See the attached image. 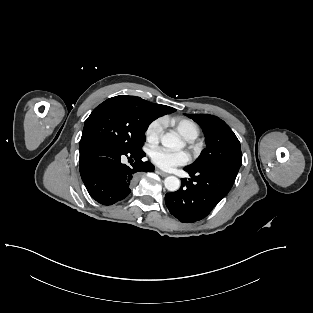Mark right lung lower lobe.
Segmentation results:
<instances>
[{
	"label": "right lung lower lobe",
	"instance_id": "obj_1",
	"mask_svg": "<svg viewBox=\"0 0 313 313\" xmlns=\"http://www.w3.org/2000/svg\"><path fill=\"white\" fill-rule=\"evenodd\" d=\"M124 156L132 160L131 166L122 163ZM144 156L142 149L127 151L102 142L80 147V174L90 196L103 205L126 198L137 173L155 169L150 162L141 160Z\"/></svg>",
	"mask_w": 313,
	"mask_h": 313
}]
</instances>
